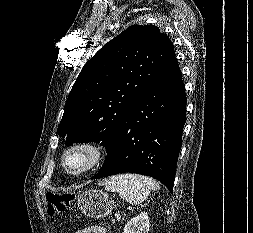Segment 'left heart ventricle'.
<instances>
[{
	"label": "left heart ventricle",
	"mask_w": 253,
	"mask_h": 233,
	"mask_svg": "<svg viewBox=\"0 0 253 233\" xmlns=\"http://www.w3.org/2000/svg\"><path fill=\"white\" fill-rule=\"evenodd\" d=\"M85 162V156L83 154H76L73 155L70 159H69V166L72 168H77L81 165H83V163Z\"/></svg>",
	"instance_id": "obj_1"
}]
</instances>
